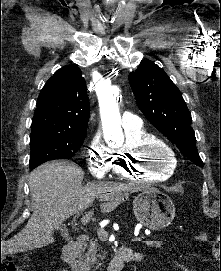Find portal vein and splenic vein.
Returning a JSON list of instances; mask_svg holds the SVG:
<instances>
[{
  "label": "portal vein and splenic vein",
  "mask_w": 221,
  "mask_h": 271,
  "mask_svg": "<svg viewBox=\"0 0 221 271\" xmlns=\"http://www.w3.org/2000/svg\"><path fill=\"white\" fill-rule=\"evenodd\" d=\"M81 221H82V223H83V225H86V223H88V221H89V219H88V217H86V215H83V217H81ZM98 236H99V238H102L101 240H102V242H107V231H105V229H98ZM142 237H133L132 238V241L133 242H142Z\"/></svg>",
  "instance_id": "portal-vein-and-splenic-vein-1"
}]
</instances>
